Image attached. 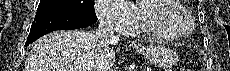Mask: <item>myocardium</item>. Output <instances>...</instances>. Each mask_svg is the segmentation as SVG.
I'll list each match as a JSON object with an SVG mask.
<instances>
[{"label": "myocardium", "instance_id": "myocardium-1", "mask_svg": "<svg viewBox=\"0 0 230 71\" xmlns=\"http://www.w3.org/2000/svg\"><path fill=\"white\" fill-rule=\"evenodd\" d=\"M159 1L161 0H146L140 4L141 20L145 27L155 36L164 39L181 40L191 35L195 24L191 14L181 2L179 0H168L165 3H160ZM155 11L180 15L185 20L186 29L177 32L165 28L153 15Z\"/></svg>", "mask_w": 230, "mask_h": 71}]
</instances>
